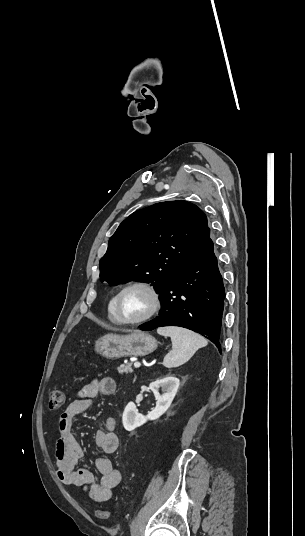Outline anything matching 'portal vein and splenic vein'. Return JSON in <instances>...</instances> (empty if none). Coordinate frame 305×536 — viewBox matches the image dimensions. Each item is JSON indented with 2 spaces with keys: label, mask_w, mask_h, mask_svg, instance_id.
I'll return each mask as SVG.
<instances>
[{
  "label": "portal vein and splenic vein",
  "mask_w": 305,
  "mask_h": 536,
  "mask_svg": "<svg viewBox=\"0 0 305 536\" xmlns=\"http://www.w3.org/2000/svg\"><path fill=\"white\" fill-rule=\"evenodd\" d=\"M140 366H141L140 362H135L134 368H140Z\"/></svg>",
  "instance_id": "1"
}]
</instances>
